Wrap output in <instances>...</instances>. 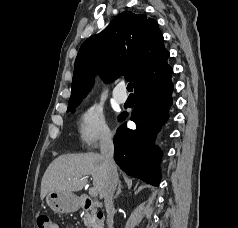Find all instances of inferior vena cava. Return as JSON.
<instances>
[{"label": "inferior vena cava", "mask_w": 238, "mask_h": 228, "mask_svg": "<svg viewBox=\"0 0 238 228\" xmlns=\"http://www.w3.org/2000/svg\"><path fill=\"white\" fill-rule=\"evenodd\" d=\"M100 152L103 157L108 178L105 186L104 193V203L107 213V228H113V217H114V205H113V195L118 184V173L115 161L113 159L114 155V144L112 140V135H106L100 143Z\"/></svg>", "instance_id": "obj_1"}]
</instances>
